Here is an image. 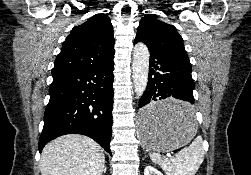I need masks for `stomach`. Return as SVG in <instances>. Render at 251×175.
<instances>
[{"label": "stomach", "mask_w": 251, "mask_h": 175, "mask_svg": "<svg viewBox=\"0 0 251 175\" xmlns=\"http://www.w3.org/2000/svg\"><path fill=\"white\" fill-rule=\"evenodd\" d=\"M193 110V106H184V100H154V105L142 107L137 119L142 145L154 151H172L187 145L198 134L199 118L181 111Z\"/></svg>", "instance_id": "stomach-1"}]
</instances>
